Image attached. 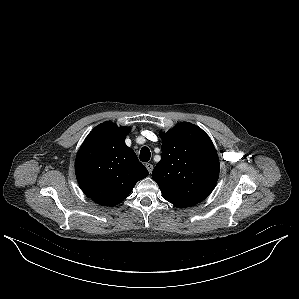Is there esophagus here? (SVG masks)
<instances>
[{
    "label": "esophagus",
    "instance_id": "1",
    "mask_svg": "<svg viewBox=\"0 0 299 299\" xmlns=\"http://www.w3.org/2000/svg\"><path fill=\"white\" fill-rule=\"evenodd\" d=\"M145 166H146L148 172L151 174L152 170H153V165L151 163H146Z\"/></svg>",
    "mask_w": 299,
    "mask_h": 299
}]
</instances>
